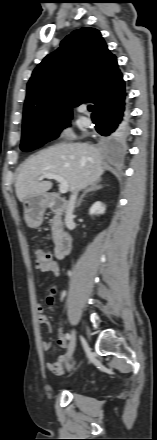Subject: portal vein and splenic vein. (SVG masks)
<instances>
[{
	"mask_svg": "<svg viewBox=\"0 0 157 440\" xmlns=\"http://www.w3.org/2000/svg\"><path fill=\"white\" fill-rule=\"evenodd\" d=\"M43 179H55L56 181H58L59 184V191L61 194L67 193L69 186L68 183L66 181V179L60 175L57 174H44L42 175L38 180H43Z\"/></svg>",
	"mask_w": 157,
	"mask_h": 440,
	"instance_id": "18ae733b",
	"label": "portal vein and splenic vein"
}]
</instances>
